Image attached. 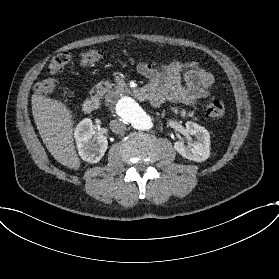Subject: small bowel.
Segmentation results:
<instances>
[{
    "mask_svg": "<svg viewBox=\"0 0 279 279\" xmlns=\"http://www.w3.org/2000/svg\"><path fill=\"white\" fill-rule=\"evenodd\" d=\"M136 69L150 79L141 90L144 98L159 106L166 101L193 104L206 98L214 82L213 75L196 61H174L168 65L157 62H138L131 59Z\"/></svg>",
    "mask_w": 279,
    "mask_h": 279,
    "instance_id": "obj_1",
    "label": "small bowel"
}]
</instances>
